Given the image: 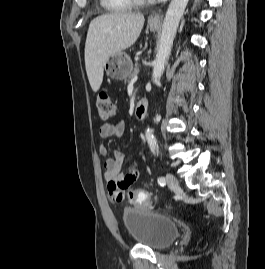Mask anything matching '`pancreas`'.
I'll return each mask as SVG.
<instances>
[{"label":"pancreas","mask_w":265,"mask_h":269,"mask_svg":"<svg viewBox=\"0 0 265 269\" xmlns=\"http://www.w3.org/2000/svg\"><path fill=\"white\" fill-rule=\"evenodd\" d=\"M139 73V68L137 65H135L132 73L128 76V78L126 79L127 81H130L132 78H134L135 76H137V74Z\"/></svg>","instance_id":"pancreas-1"}]
</instances>
